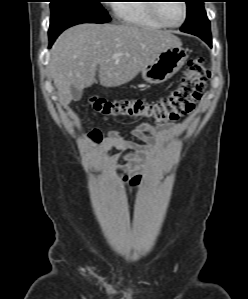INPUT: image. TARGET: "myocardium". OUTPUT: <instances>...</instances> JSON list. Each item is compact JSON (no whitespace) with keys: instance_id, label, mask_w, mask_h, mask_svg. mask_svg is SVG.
<instances>
[{"instance_id":"myocardium-1","label":"myocardium","mask_w":248,"mask_h":299,"mask_svg":"<svg viewBox=\"0 0 248 299\" xmlns=\"http://www.w3.org/2000/svg\"><path fill=\"white\" fill-rule=\"evenodd\" d=\"M156 2H159V1H156ZM160 4L161 3H153L151 5V12H152L153 17L163 26L168 27V28H177V27H180L186 21L187 14H188V8H187V4L185 3V1H181L182 8H183V17H182L181 21L177 24H170L162 17V15L160 14V11H159Z\"/></svg>"}]
</instances>
